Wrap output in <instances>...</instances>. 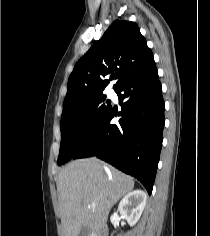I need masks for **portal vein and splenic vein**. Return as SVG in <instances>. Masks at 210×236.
Returning a JSON list of instances; mask_svg holds the SVG:
<instances>
[{
	"label": "portal vein and splenic vein",
	"instance_id": "18ae733b",
	"mask_svg": "<svg viewBox=\"0 0 210 236\" xmlns=\"http://www.w3.org/2000/svg\"><path fill=\"white\" fill-rule=\"evenodd\" d=\"M90 207H92V208H95V204H91V206Z\"/></svg>",
	"mask_w": 210,
	"mask_h": 236
}]
</instances>
